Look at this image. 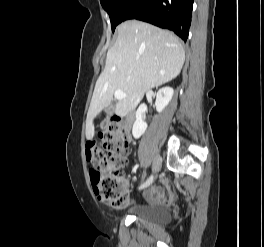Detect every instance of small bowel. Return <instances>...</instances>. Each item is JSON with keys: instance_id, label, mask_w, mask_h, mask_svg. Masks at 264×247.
Instances as JSON below:
<instances>
[{"instance_id": "c3829d8e", "label": "small bowel", "mask_w": 264, "mask_h": 247, "mask_svg": "<svg viewBox=\"0 0 264 247\" xmlns=\"http://www.w3.org/2000/svg\"><path fill=\"white\" fill-rule=\"evenodd\" d=\"M145 200L147 202H169L170 197H165L163 189L159 186H155L146 192Z\"/></svg>"}]
</instances>
